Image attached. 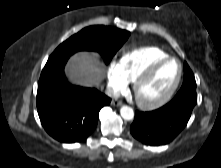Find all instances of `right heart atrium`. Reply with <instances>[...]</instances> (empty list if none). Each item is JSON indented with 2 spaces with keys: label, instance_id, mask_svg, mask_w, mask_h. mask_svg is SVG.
<instances>
[{
  "label": "right heart atrium",
  "instance_id": "1",
  "mask_svg": "<svg viewBox=\"0 0 221 168\" xmlns=\"http://www.w3.org/2000/svg\"><path fill=\"white\" fill-rule=\"evenodd\" d=\"M128 81L122 75L117 63H110L106 71V87L111 96H117L127 87Z\"/></svg>",
  "mask_w": 221,
  "mask_h": 168
}]
</instances>
